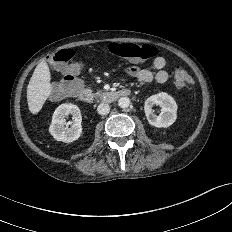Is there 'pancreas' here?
Segmentation results:
<instances>
[{
  "label": "pancreas",
  "mask_w": 232,
  "mask_h": 232,
  "mask_svg": "<svg viewBox=\"0 0 232 232\" xmlns=\"http://www.w3.org/2000/svg\"><path fill=\"white\" fill-rule=\"evenodd\" d=\"M96 94L99 95V96H101V95L104 94V92L102 90H98Z\"/></svg>",
  "instance_id": "cf45deb5"
}]
</instances>
